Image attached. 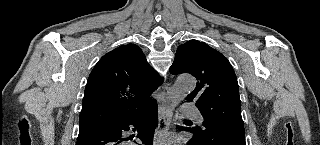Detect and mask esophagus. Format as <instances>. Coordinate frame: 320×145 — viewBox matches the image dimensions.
<instances>
[{
  "label": "esophagus",
  "instance_id": "34e87169",
  "mask_svg": "<svg viewBox=\"0 0 320 145\" xmlns=\"http://www.w3.org/2000/svg\"><path fill=\"white\" fill-rule=\"evenodd\" d=\"M171 108L166 93L158 104V126L154 134V145H163L164 138L168 133L170 126Z\"/></svg>",
  "mask_w": 320,
  "mask_h": 145
}]
</instances>
